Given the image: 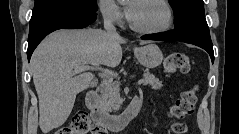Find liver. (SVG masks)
<instances>
[{
  "mask_svg": "<svg viewBox=\"0 0 239 134\" xmlns=\"http://www.w3.org/2000/svg\"><path fill=\"white\" fill-rule=\"evenodd\" d=\"M126 40L100 29L59 30L46 37L34 51L30 67L39 99V126L43 134L62 126L78 93L89 88L94 75H77V65L116 67L122 59L120 44ZM147 43L142 41L141 44Z\"/></svg>",
  "mask_w": 239,
  "mask_h": 134,
  "instance_id": "liver-1",
  "label": "liver"
}]
</instances>
